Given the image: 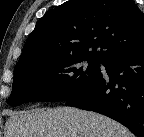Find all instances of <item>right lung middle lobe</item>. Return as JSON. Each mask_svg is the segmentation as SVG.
Returning <instances> with one entry per match:
<instances>
[{
    "label": "right lung middle lobe",
    "mask_w": 144,
    "mask_h": 137,
    "mask_svg": "<svg viewBox=\"0 0 144 137\" xmlns=\"http://www.w3.org/2000/svg\"><path fill=\"white\" fill-rule=\"evenodd\" d=\"M99 62L69 57L15 67L11 106L26 102L66 101L81 93L102 73Z\"/></svg>",
    "instance_id": "dd1d6c3e"
}]
</instances>
